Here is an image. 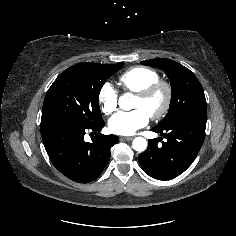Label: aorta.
Listing matches in <instances>:
<instances>
[{
    "mask_svg": "<svg viewBox=\"0 0 236 236\" xmlns=\"http://www.w3.org/2000/svg\"><path fill=\"white\" fill-rule=\"evenodd\" d=\"M130 95L126 94L124 96H121L119 99V105L121 107H124L125 102H127L129 100ZM147 141L145 138L143 137H136L133 142H132V147L135 151L138 152H143L146 150L147 148Z\"/></svg>",
    "mask_w": 236,
    "mask_h": 236,
    "instance_id": "aorta-1",
    "label": "aorta"
}]
</instances>
